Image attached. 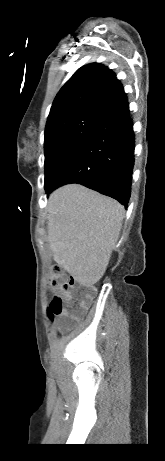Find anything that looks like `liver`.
Here are the masks:
<instances>
[{
	"label": "liver",
	"mask_w": 165,
	"mask_h": 461,
	"mask_svg": "<svg viewBox=\"0 0 165 461\" xmlns=\"http://www.w3.org/2000/svg\"><path fill=\"white\" fill-rule=\"evenodd\" d=\"M48 242L54 260L79 283L91 286L104 275L125 215L116 200L79 184L50 194Z\"/></svg>",
	"instance_id": "1"
}]
</instances>
